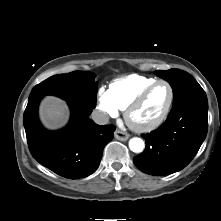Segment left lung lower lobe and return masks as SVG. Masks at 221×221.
Wrapping results in <instances>:
<instances>
[{"label":"left lung lower lobe","instance_id":"1","mask_svg":"<svg viewBox=\"0 0 221 221\" xmlns=\"http://www.w3.org/2000/svg\"><path fill=\"white\" fill-rule=\"evenodd\" d=\"M208 101L203 89L173 102L165 123L143 134L145 150L134 157L144 173L156 176L172 174L186 167L198 152L208 130Z\"/></svg>","mask_w":221,"mask_h":221}]
</instances>
